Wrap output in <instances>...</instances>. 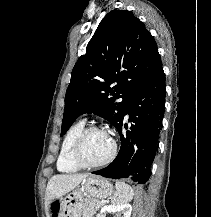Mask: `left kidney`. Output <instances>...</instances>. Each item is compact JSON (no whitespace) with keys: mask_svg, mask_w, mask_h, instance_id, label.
Here are the masks:
<instances>
[{"mask_svg":"<svg viewBox=\"0 0 211 217\" xmlns=\"http://www.w3.org/2000/svg\"><path fill=\"white\" fill-rule=\"evenodd\" d=\"M131 211L132 207L130 204H111L108 206H104L101 209V215H98L97 217H106L104 215L106 212L115 214L114 217H130Z\"/></svg>","mask_w":211,"mask_h":217,"instance_id":"left-kidney-1","label":"left kidney"}]
</instances>
